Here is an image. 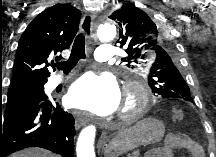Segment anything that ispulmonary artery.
I'll return each mask as SVG.
<instances>
[{"label": "pulmonary artery", "mask_w": 216, "mask_h": 157, "mask_svg": "<svg viewBox=\"0 0 216 157\" xmlns=\"http://www.w3.org/2000/svg\"><path fill=\"white\" fill-rule=\"evenodd\" d=\"M113 56L114 52L111 45H101L96 49L94 53L95 59L100 62L110 61ZM65 79V77L56 76L49 82V87L55 88L60 83L64 82Z\"/></svg>", "instance_id": "e3ab8cb5"}]
</instances>
